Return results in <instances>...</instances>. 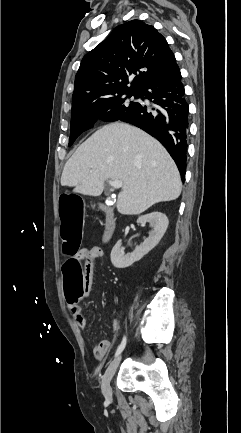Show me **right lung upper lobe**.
<instances>
[{"label":"right lung upper lobe","mask_w":241,"mask_h":433,"mask_svg":"<svg viewBox=\"0 0 241 433\" xmlns=\"http://www.w3.org/2000/svg\"><path fill=\"white\" fill-rule=\"evenodd\" d=\"M174 64L175 56L167 41L153 26L140 20L119 25L82 59L72 105L139 91Z\"/></svg>","instance_id":"right-lung-upper-lobe-1"}]
</instances>
